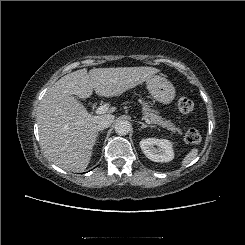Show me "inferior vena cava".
Instances as JSON below:
<instances>
[{
	"instance_id": "inferior-vena-cava-1",
	"label": "inferior vena cava",
	"mask_w": 245,
	"mask_h": 245,
	"mask_svg": "<svg viewBox=\"0 0 245 245\" xmlns=\"http://www.w3.org/2000/svg\"><path fill=\"white\" fill-rule=\"evenodd\" d=\"M114 121V115L112 114H105L102 116H99L97 121L98 129H105L111 126V124Z\"/></svg>"
}]
</instances>
